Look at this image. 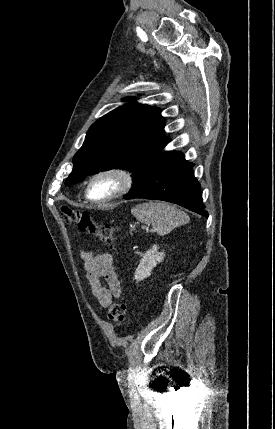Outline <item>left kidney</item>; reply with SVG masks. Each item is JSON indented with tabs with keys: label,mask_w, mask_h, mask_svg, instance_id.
I'll use <instances>...</instances> for the list:
<instances>
[{
	"label": "left kidney",
	"mask_w": 275,
	"mask_h": 429,
	"mask_svg": "<svg viewBox=\"0 0 275 429\" xmlns=\"http://www.w3.org/2000/svg\"><path fill=\"white\" fill-rule=\"evenodd\" d=\"M159 247L153 245V247L147 251L135 271V279L137 282L142 281L143 279L149 277L153 268L164 259V252H158Z\"/></svg>",
	"instance_id": "obj_1"
}]
</instances>
